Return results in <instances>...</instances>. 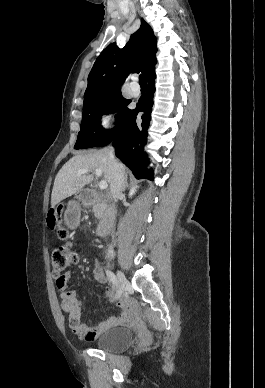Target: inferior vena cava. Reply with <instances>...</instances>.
<instances>
[{
  "label": "inferior vena cava",
  "mask_w": 265,
  "mask_h": 388,
  "mask_svg": "<svg viewBox=\"0 0 265 388\" xmlns=\"http://www.w3.org/2000/svg\"><path fill=\"white\" fill-rule=\"evenodd\" d=\"M108 156L112 164V182L110 184V190L115 202H117L121 196L125 174H123L117 160H115L114 148H110ZM107 256H114L112 246H110Z\"/></svg>",
  "instance_id": "inferior-vena-cava-1"
}]
</instances>
